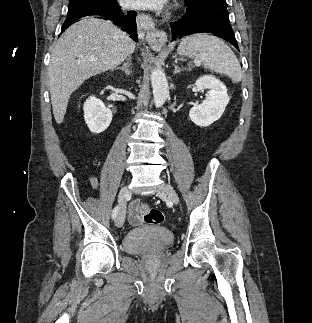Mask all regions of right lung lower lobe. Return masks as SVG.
<instances>
[{
  "label": "right lung lower lobe",
  "mask_w": 312,
  "mask_h": 323,
  "mask_svg": "<svg viewBox=\"0 0 312 323\" xmlns=\"http://www.w3.org/2000/svg\"><path fill=\"white\" fill-rule=\"evenodd\" d=\"M90 15H98L101 19L113 21L115 25L128 32L134 40H138L135 20L136 12H122L117 4L86 8L69 13L65 23L62 25V32L71 24L77 22L79 18Z\"/></svg>",
  "instance_id": "1"
}]
</instances>
